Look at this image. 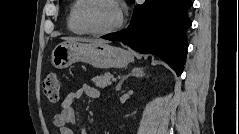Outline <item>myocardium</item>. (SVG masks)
<instances>
[{"label": "myocardium", "mask_w": 239, "mask_h": 134, "mask_svg": "<svg viewBox=\"0 0 239 134\" xmlns=\"http://www.w3.org/2000/svg\"><path fill=\"white\" fill-rule=\"evenodd\" d=\"M95 1H98V0H83L82 4L79 7L77 19H78L80 26L83 28V30L87 34H91V35H95V36L108 35V34L114 33L117 30H119L121 28V26L123 25L124 16H123V12H122V9H121L119 3L115 0H108L116 6V8L118 9V12H119L118 20L113 26H111L107 29L98 30V29L92 28L89 25L87 18H86V11Z\"/></svg>", "instance_id": "1"}]
</instances>
